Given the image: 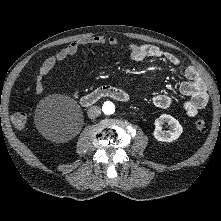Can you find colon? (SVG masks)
I'll return each instance as SVG.
<instances>
[{"instance_id":"1","label":"colon","mask_w":221,"mask_h":221,"mask_svg":"<svg viewBox=\"0 0 221 221\" xmlns=\"http://www.w3.org/2000/svg\"><path fill=\"white\" fill-rule=\"evenodd\" d=\"M12 122L18 129H23L27 123V116L23 112H17L13 115ZM195 128L198 132L204 133L207 130L206 122L202 119L197 120Z\"/></svg>"}]
</instances>
